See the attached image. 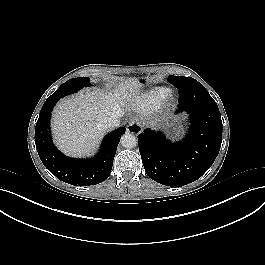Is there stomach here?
Wrapping results in <instances>:
<instances>
[{"instance_id": "stomach-1", "label": "stomach", "mask_w": 265, "mask_h": 265, "mask_svg": "<svg viewBox=\"0 0 265 265\" xmlns=\"http://www.w3.org/2000/svg\"><path fill=\"white\" fill-rule=\"evenodd\" d=\"M150 81L149 78H143L141 80H139V85L140 86H144L145 84H147Z\"/></svg>"}]
</instances>
